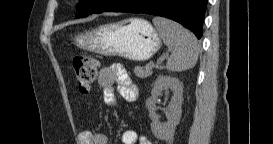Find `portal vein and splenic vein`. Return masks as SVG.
<instances>
[{
	"label": "portal vein and splenic vein",
	"mask_w": 273,
	"mask_h": 144,
	"mask_svg": "<svg viewBox=\"0 0 273 144\" xmlns=\"http://www.w3.org/2000/svg\"><path fill=\"white\" fill-rule=\"evenodd\" d=\"M146 68H150V69H152V68H153V64H152V63L147 64V65H146Z\"/></svg>",
	"instance_id": "portal-vein-and-splenic-vein-1"
}]
</instances>
